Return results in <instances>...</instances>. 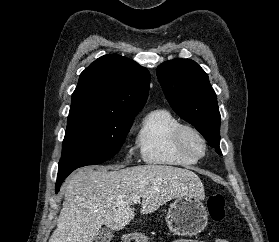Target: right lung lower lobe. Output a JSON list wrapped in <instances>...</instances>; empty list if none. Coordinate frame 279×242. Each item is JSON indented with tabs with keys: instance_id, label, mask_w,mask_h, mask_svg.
I'll return each instance as SVG.
<instances>
[{
	"instance_id": "obj_1",
	"label": "right lung lower lobe",
	"mask_w": 279,
	"mask_h": 242,
	"mask_svg": "<svg viewBox=\"0 0 279 242\" xmlns=\"http://www.w3.org/2000/svg\"><path fill=\"white\" fill-rule=\"evenodd\" d=\"M65 178L61 179V180H58L57 183H56V187H55V190H56V193H58L59 189H60V186L63 182Z\"/></svg>"
}]
</instances>
